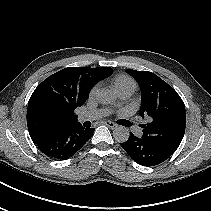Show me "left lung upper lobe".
Returning <instances> with one entry per match:
<instances>
[{
	"instance_id": "left-lung-upper-lobe-1",
	"label": "left lung upper lobe",
	"mask_w": 211,
	"mask_h": 211,
	"mask_svg": "<svg viewBox=\"0 0 211 211\" xmlns=\"http://www.w3.org/2000/svg\"><path fill=\"white\" fill-rule=\"evenodd\" d=\"M141 88L140 116L150 117L143 124V136L165 153L172 155L180 145L186 127V111L178 93L149 71L127 69Z\"/></svg>"
}]
</instances>
